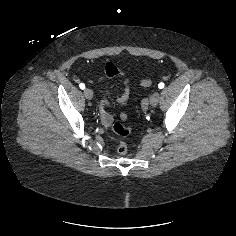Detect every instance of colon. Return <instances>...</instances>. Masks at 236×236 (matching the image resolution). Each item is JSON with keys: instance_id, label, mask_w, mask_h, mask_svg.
I'll list each match as a JSON object with an SVG mask.
<instances>
[{"instance_id": "5ec220e1", "label": "colon", "mask_w": 236, "mask_h": 236, "mask_svg": "<svg viewBox=\"0 0 236 236\" xmlns=\"http://www.w3.org/2000/svg\"><path fill=\"white\" fill-rule=\"evenodd\" d=\"M152 81L150 79H144L141 81V85L143 87H149ZM143 108H146L147 102L144 100L142 102ZM113 131L120 136L121 138L127 137L131 133V128L129 126H125L121 123H115L112 127ZM118 153L121 155H125L128 151V146L124 140H120L118 143Z\"/></svg>"}]
</instances>
